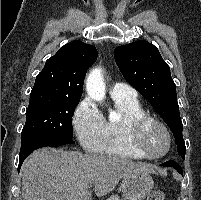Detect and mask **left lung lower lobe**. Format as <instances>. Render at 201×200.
<instances>
[{
    "label": "left lung lower lobe",
    "mask_w": 201,
    "mask_h": 200,
    "mask_svg": "<svg viewBox=\"0 0 201 200\" xmlns=\"http://www.w3.org/2000/svg\"><path fill=\"white\" fill-rule=\"evenodd\" d=\"M160 166H169V167H173V168H175L181 175H183L181 166H180L177 162H175V161H173V160L167 161V162H165V163H162V164H160Z\"/></svg>",
    "instance_id": "left-lung-lower-lobe-1"
}]
</instances>
